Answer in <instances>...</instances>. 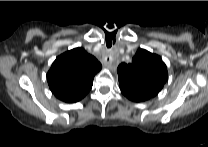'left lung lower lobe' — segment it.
<instances>
[{
    "mask_svg": "<svg viewBox=\"0 0 208 147\" xmlns=\"http://www.w3.org/2000/svg\"><path fill=\"white\" fill-rule=\"evenodd\" d=\"M128 99L132 100V101H136V102H141V101H145L148 98L142 94L139 93H132V92H122Z\"/></svg>",
    "mask_w": 208,
    "mask_h": 147,
    "instance_id": "1",
    "label": "left lung lower lobe"
}]
</instances>
